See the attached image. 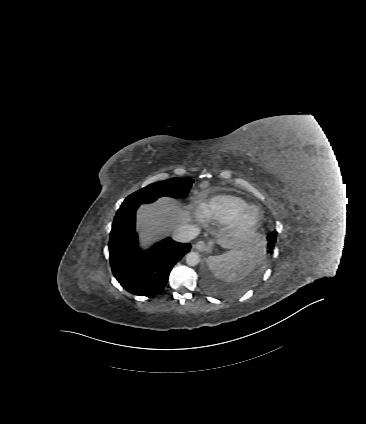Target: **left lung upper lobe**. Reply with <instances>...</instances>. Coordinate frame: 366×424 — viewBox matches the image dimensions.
<instances>
[{"instance_id": "left-lung-upper-lobe-1", "label": "left lung upper lobe", "mask_w": 366, "mask_h": 424, "mask_svg": "<svg viewBox=\"0 0 366 424\" xmlns=\"http://www.w3.org/2000/svg\"><path fill=\"white\" fill-rule=\"evenodd\" d=\"M276 237H277L276 232L269 234L268 237H267V239H268V249H269L268 251L270 253H272V251H273V248H274V245H275V242H276Z\"/></svg>"}]
</instances>
